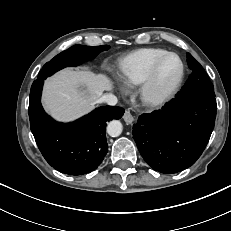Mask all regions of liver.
Returning a JSON list of instances; mask_svg holds the SVG:
<instances>
[{
	"label": "liver",
	"mask_w": 231,
	"mask_h": 231,
	"mask_svg": "<svg viewBox=\"0 0 231 231\" xmlns=\"http://www.w3.org/2000/svg\"><path fill=\"white\" fill-rule=\"evenodd\" d=\"M113 83L104 74L64 69L45 81L42 104L56 120L73 121L90 112Z\"/></svg>",
	"instance_id": "6515ba94"
}]
</instances>
